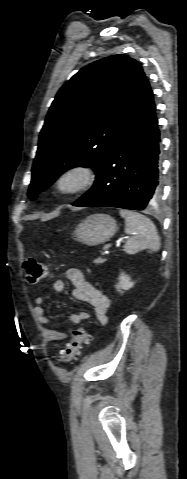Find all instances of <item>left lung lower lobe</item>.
<instances>
[{"label":"left lung lower lobe","mask_w":187,"mask_h":479,"mask_svg":"<svg viewBox=\"0 0 187 479\" xmlns=\"http://www.w3.org/2000/svg\"><path fill=\"white\" fill-rule=\"evenodd\" d=\"M160 133L145 78L115 146L96 172L93 187L73 206L143 210L159 195Z\"/></svg>","instance_id":"0a47b994"}]
</instances>
